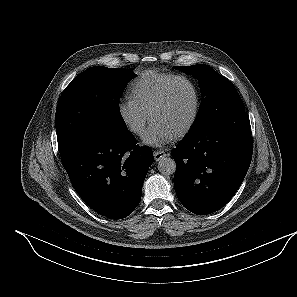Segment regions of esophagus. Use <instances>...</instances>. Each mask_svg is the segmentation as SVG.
<instances>
[{
	"instance_id": "esophagus-1",
	"label": "esophagus",
	"mask_w": 297,
	"mask_h": 297,
	"mask_svg": "<svg viewBox=\"0 0 297 297\" xmlns=\"http://www.w3.org/2000/svg\"><path fill=\"white\" fill-rule=\"evenodd\" d=\"M166 152L164 150H158L154 152V159L156 161L161 160L162 158H164L166 156Z\"/></svg>"
}]
</instances>
